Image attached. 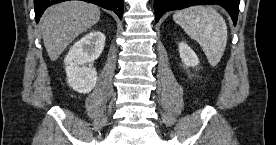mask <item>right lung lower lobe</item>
<instances>
[{"mask_svg":"<svg viewBox=\"0 0 276 145\" xmlns=\"http://www.w3.org/2000/svg\"><path fill=\"white\" fill-rule=\"evenodd\" d=\"M66 0H34L35 20L39 21L44 10L52 4ZM94 3L100 7L114 11L117 16L122 19L123 14V0H82Z\"/></svg>","mask_w":276,"mask_h":145,"instance_id":"obj_1","label":"right lung lower lobe"}]
</instances>
